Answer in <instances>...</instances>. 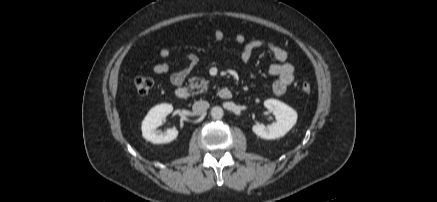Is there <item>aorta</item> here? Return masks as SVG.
Masks as SVG:
<instances>
[{"label": "aorta", "instance_id": "aorta-1", "mask_svg": "<svg viewBox=\"0 0 437 202\" xmlns=\"http://www.w3.org/2000/svg\"><path fill=\"white\" fill-rule=\"evenodd\" d=\"M224 115V111L220 106H215L211 109V117L213 119H221Z\"/></svg>", "mask_w": 437, "mask_h": 202}]
</instances>
